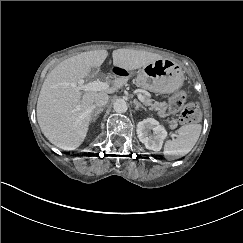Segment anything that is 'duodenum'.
<instances>
[{"label":"duodenum","instance_id":"obj_1","mask_svg":"<svg viewBox=\"0 0 243 243\" xmlns=\"http://www.w3.org/2000/svg\"><path fill=\"white\" fill-rule=\"evenodd\" d=\"M112 72L121 78L129 77L131 75V71L124 65H114L112 68Z\"/></svg>","mask_w":243,"mask_h":243}]
</instances>
